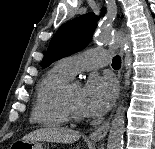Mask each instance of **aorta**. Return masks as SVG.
<instances>
[{
  "label": "aorta",
  "instance_id": "obj_1",
  "mask_svg": "<svg viewBox=\"0 0 155 149\" xmlns=\"http://www.w3.org/2000/svg\"><path fill=\"white\" fill-rule=\"evenodd\" d=\"M97 43L102 44H120L121 40L113 33L112 30L106 29L99 32L95 37ZM126 65L132 63V56L126 53L124 57ZM130 85V80L128 77L125 78L124 88ZM125 131V112L123 107V101L121 105L118 106L114 119L109 130L107 149H123V136Z\"/></svg>",
  "mask_w": 155,
  "mask_h": 149
}]
</instances>
